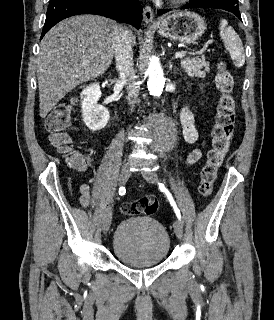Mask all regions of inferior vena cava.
Segmentation results:
<instances>
[{
    "mask_svg": "<svg viewBox=\"0 0 274 320\" xmlns=\"http://www.w3.org/2000/svg\"><path fill=\"white\" fill-rule=\"evenodd\" d=\"M114 40H115V62L117 72L125 82L130 110H134V104H137V98L139 92L136 86V78L133 64V50L132 46L135 42L133 32L122 28V26H116L113 28Z\"/></svg>",
    "mask_w": 274,
    "mask_h": 320,
    "instance_id": "obj_1",
    "label": "inferior vena cava"
}]
</instances>
